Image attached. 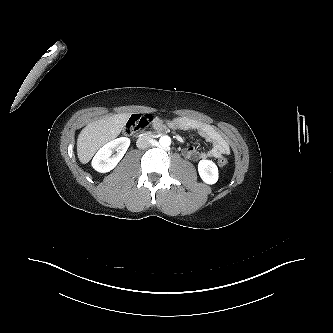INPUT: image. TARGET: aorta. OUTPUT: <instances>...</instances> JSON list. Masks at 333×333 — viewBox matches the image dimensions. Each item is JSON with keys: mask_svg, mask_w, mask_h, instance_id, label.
I'll use <instances>...</instances> for the list:
<instances>
[{"mask_svg": "<svg viewBox=\"0 0 333 333\" xmlns=\"http://www.w3.org/2000/svg\"><path fill=\"white\" fill-rule=\"evenodd\" d=\"M159 143L162 147H168L171 144V139L169 136H162L159 140Z\"/></svg>", "mask_w": 333, "mask_h": 333, "instance_id": "762f6f07", "label": "aorta"}]
</instances>
